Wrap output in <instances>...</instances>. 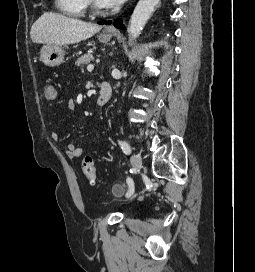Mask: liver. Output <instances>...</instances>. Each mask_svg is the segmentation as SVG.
<instances>
[{
    "instance_id": "obj_1",
    "label": "liver",
    "mask_w": 255,
    "mask_h": 272,
    "mask_svg": "<svg viewBox=\"0 0 255 272\" xmlns=\"http://www.w3.org/2000/svg\"><path fill=\"white\" fill-rule=\"evenodd\" d=\"M101 28L95 23L46 12L32 25L30 37L33 43L67 45L86 40L99 32Z\"/></svg>"
}]
</instances>
